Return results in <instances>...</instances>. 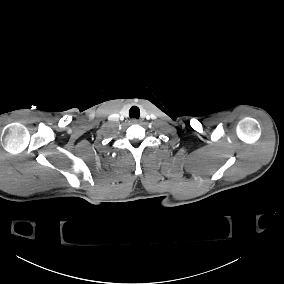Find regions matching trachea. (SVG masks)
<instances>
[{"mask_svg":"<svg viewBox=\"0 0 284 284\" xmlns=\"http://www.w3.org/2000/svg\"><path fill=\"white\" fill-rule=\"evenodd\" d=\"M129 116L132 117V118L138 119L139 116H140L139 108L136 107V106L131 107L130 110H129Z\"/></svg>","mask_w":284,"mask_h":284,"instance_id":"3493384b","label":"trachea"}]
</instances>
